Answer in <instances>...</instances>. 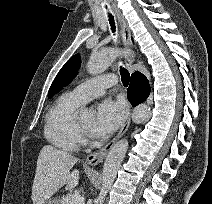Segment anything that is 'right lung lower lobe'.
<instances>
[{"label": "right lung lower lobe", "mask_w": 212, "mask_h": 204, "mask_svg": "<svg viewBox=\"0 0 212 204\" xmlns=\"http://www.w3.org/2000/svg\"><path fill=\"white\" fill-rule=\"evenodd\" d=\"M150 94V86L147 78L136 71L131 76V82L127 90L128 100L136 106L147 99Z\"/></svg>", "instance_id": "right-lung-lower-lobe-1"}]
</instances>
